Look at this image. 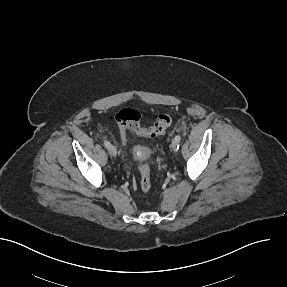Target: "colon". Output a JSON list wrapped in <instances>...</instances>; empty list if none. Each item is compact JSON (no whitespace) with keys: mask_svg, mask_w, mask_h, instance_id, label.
Segmentation results:
<instances>
[{"mask_svg":"<svg viewBox=\"0 0 287 287\" xmlns=\"http://www.w3.org/2000/svg\"><path fill=\"white\" fill-rule=\"evenodd\" d=\"M115 121L122 142L127 144L128 131L145 138H155L164 134L171 125L172 116L169 113H160L151 126L145 127L141 124V114L139 111L132 108H122L116 113ZM137 168L140 174L138 186L143 192H148L151 189L150 168L146 163H139Z\"/></svg>","mask_w":287,"mask_h":287,"instance_id":"5ec220e1","label":"colon"}]
</instances>
